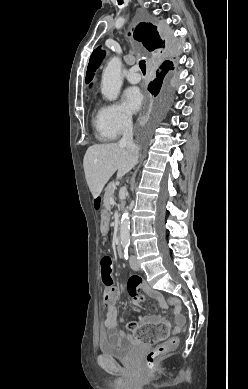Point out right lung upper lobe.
Returning <instances> with one entry per match:
<instances>
[{"instance_id": "cb5924a9", "label": "right lung upper lobe", "mask_w": 248, "mask_h": 389, "mask_svg": "<svg viewBox=\"0 0 248 389\" xmlns=\"http://www.w3.org/2000/svg\"><path fill=\"white\" fill-rule=\"evenodd\" d=\"M134 38L137 41L143 43L144 47L148 51H153L155 55L164 59H172L176 53L174 46L171 43H168L164 34L156 25L152 23H139L134 29ZM105 56V51L101 50V47L95 49L90 57L88 64L87 74H86V83H90L96 68L100 65L102 59ZM164 69L160 74L157 75V79L154 81V84L161 81L168 71L173 67V63L170 60H165L163 62Z\"/></svg>"}]
</instances>
